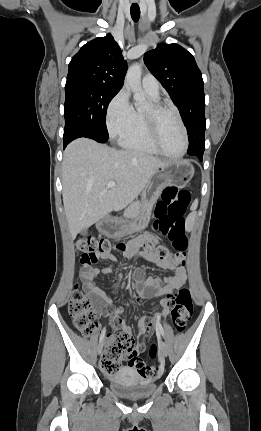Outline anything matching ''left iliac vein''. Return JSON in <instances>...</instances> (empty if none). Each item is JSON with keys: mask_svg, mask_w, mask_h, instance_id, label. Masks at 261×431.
Wrapping results in <instances>:
<instances>
[{"mask_svg": "<svg viewBox=\"0 0 261 431\" xmlns=\"http://www.w3.org/2000/svg\"><path fill=\"white\" fill-rule=\"evenodd\" d=\"M160 348L164 356H168L169 350L165 342L160 341Z\"/></svg>", "mask_w": 261, "mask_h": 431, "instance_id": "4c4485c4", "label": "left iliac vein"}]
</instances>
